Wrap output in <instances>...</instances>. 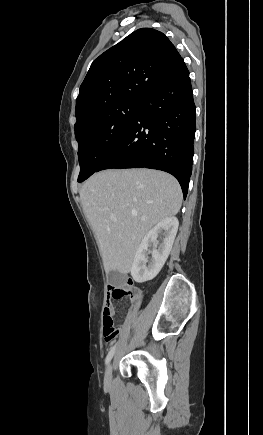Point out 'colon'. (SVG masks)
<instances>
[{"label":"colon","instance_id":"1","mask_svg":"<svg viewBox=\"0 0 263 435\" xmlns=\"http://www.w3.org/2000/svg\"><path fill=\"white\" fill-rule=\"evenodd\" d=\"M132 283H128L125 286L118 285L109 286V297L111 299L119 300L124 298L129 293V286ZM103 334L104 338L107 342L112 341L118 334V329L114 325L113 320V313L112 312H105L103 314Z\"/></svg>","mask_w":263,"mask_h":435}]
</instances>
